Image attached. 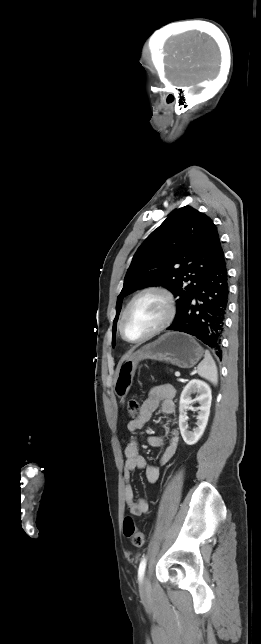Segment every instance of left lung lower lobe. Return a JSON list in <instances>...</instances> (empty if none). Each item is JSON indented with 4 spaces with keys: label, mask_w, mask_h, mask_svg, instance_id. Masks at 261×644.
Wrapping results in <instances>:
<instances>
[{
    "label": "left lung lower lobe",
    "mask_w": 261,
    "mask_h": 644,
    "mask_svg": "<svg viewBox=\"0 0 261 644\" xmlns=\"http://www.w3.org/2000/svg\"><path fill=\"white\" fill-rule=\"evenodd\" d=\"M223 255L202 279L182 314L167 330L196 336L222 358L221 336L228 307L229 284Z\"/></svg>",
    "instance_id": "obj_1"
}]
</instances>
